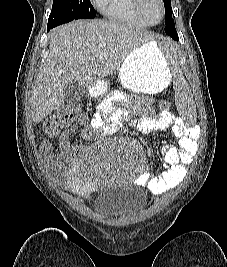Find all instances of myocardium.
<instances>
[{
	"label": "myocardium",
	"mask_w": 227,
	"mask_h": 267,
	"mask_svg": "<svg viewBox=\"0 0 227 267\" xmlns=\"http://www.w3.org/2000/svg\"><path fill=\"white\" fill-rule=\"evenodd\" d=\"M158 3L160 4V9H161V15H160V19L156 22H152L149 20L146 11H145V3L146 0H135L136 2V10L138 12V14L141 16V18L148 24V25H156L158 23H160L164 17H165V13H166V9H165V3L164 0H157Z\"/></svg>",
	"instance_id": "myocardium-1"
}]
</instances>
